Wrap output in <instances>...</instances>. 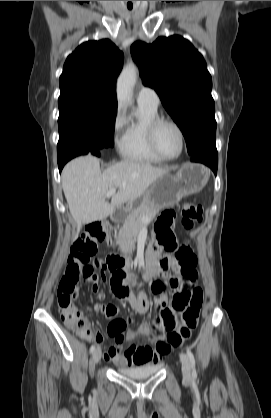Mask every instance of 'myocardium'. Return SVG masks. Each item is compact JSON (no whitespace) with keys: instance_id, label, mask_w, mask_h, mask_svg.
Instances as JSON below:
<instances>
[{"instance_id":"myocardium-1","label":"myocardium","mask_w":271,"mask_h":418,"mask_svg":"<svg viewBox=\"0 0 271 418\" xmlns=\"http://www.w3.org/2000/svg\"><path fill=\"white\" fill-rule=\"evenodd\" d=\"M164 124H168L174 127L179 134L180 150L178 154L175 156H167L159 148V145L157 142V134H158L159 128ZM147 136H148V142L152 151L161 159L165 161H172V160L178 159L183 154V151L185 149V134L181 126L176 121L169 119V118H165V117L155 118L154 120L150 122L148 126Z\"/></svg>"}]
</instances>
